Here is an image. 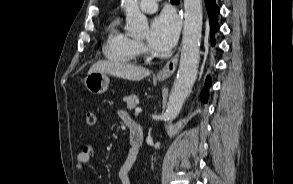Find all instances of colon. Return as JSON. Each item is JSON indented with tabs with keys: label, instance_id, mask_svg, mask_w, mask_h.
Instances as JSON below:
<instances>
[{
	"label": "colon",
	"instance_id": "colon-1",
	"mask_svg": "<svg viewBox=\"0 0 293 184\" xmlns=\"http://www.w3.org/2000/svg\"><path fill=\"white\" fill-rule=\"evenodd\" d=\"M86 123L89 126H93L96 123V115L93 111H88L86 113Z\"/></svg>",
	"mask_w": 293,
	"mask_h": 184
}]
</instances>
